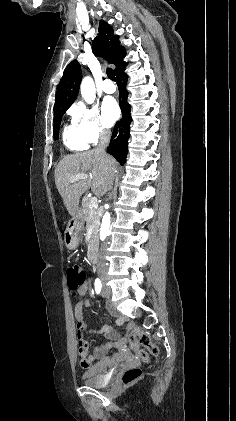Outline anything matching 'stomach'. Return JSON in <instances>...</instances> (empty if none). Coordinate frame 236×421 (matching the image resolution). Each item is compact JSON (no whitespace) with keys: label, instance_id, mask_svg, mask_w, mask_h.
<instances>
[{"label":"stomach","instance_id":"obj_1","mask_svg":"<svg viewBox=\"0 0 236 421\" xmlns=\"http://www.w3.org/2000/svg\"><path fill=\"white\" fill-rule=\"evenodd\" d=\"M75 221H76V227H75V231H66V235H65V245L67 247V249H70V251H73V249H77L78 247V229L77 227H83V215L81 213V211H78L77 213V217H74Z\"/></svg>","mask_w":236,"mask_h":421}]
</instances>
